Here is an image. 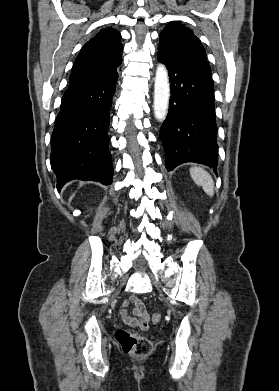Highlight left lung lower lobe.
<instances>
[{"label":"left lung lower lobe","mask_w":279,"mask_h":391,"mask_svg":"<svg viewBox=\"0 0 279 391\" xmlns=\"http://www.w3.org/2000/svg\"><path fill=\"white\" fill-rule=\"evenodd\" d=\"M171 82L169 114L160 129L166 168L185 162L213 167L216 173L218 145L214 83L199 72L169 60L158 51Z\"/></svg>","instance_id":"1"}]
</instances>
